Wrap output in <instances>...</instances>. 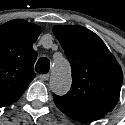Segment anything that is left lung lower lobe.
<instances>
[{"instance_id": "obj_1", "label": "left lung lower lobe", "mask_w": 125, "mask_h": 125, "mask_svg": "<svg viewBox=\"0 0 125 125\" xmlns=\"http://www.w3.org/2000/svg\"><path fill=\"white\" fill-rule=\"evenodd\" d=\"M100 118H102V117H100ZM100 118L80 119V120H77V121L89 123V122H93V121H95V120H98V119H100Z\"/></svg>"}]
</instances>
